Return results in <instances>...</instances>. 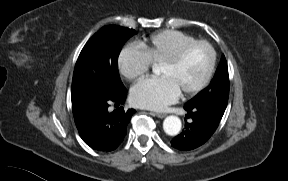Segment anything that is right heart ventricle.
<instances>
[{
  "instance_id": "obj_1",
  "label": "right heart ventricle",
  "mask_w": 288,
  "mask_h": 181,
  "mask_svg": "<svg viewBox=\"0 0 288 181\" xmlns=\"http://www.w3.org/2000/svg\"><path fill=\"white\" fill-rule=\"evenodd\" d=\"M193 41H196V38L192 35L176 30H165L140 42L139 47L145 52L150 63L159 64Z\"/></svg>"
}]
</instances>
